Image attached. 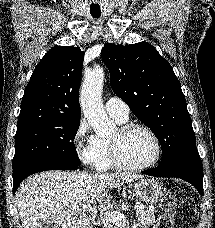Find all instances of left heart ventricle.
<instances>
[{"label": "left heart ventricle", "mask_w": 215, "mask_h": 228, "mask_svg": "<svg viewBox=\"0 0 215 228\" xmlns=\"http://www.w3.org/2000/svg\"><path fill=\"white\" fill-rule=\"evenodd\" d=\"M111 139L117 141L119 156L127 165H141L153 155V142L140 128H134L123 135L117 130Z\"/></svg>", "instance_id": "1"}]
</instances>
